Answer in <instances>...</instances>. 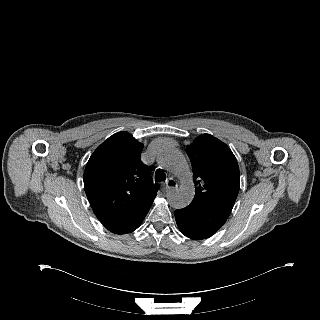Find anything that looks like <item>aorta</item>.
I'll use <instances>...</instances> for the list:
<instances>
[{
	"label": "aorta",
	"instance_id": "1",
	"mask_svg": "<svg viewBox=\"0 0 320 320\" xmlns=\"http://www.w3.org/2000/svg\"><path fill=\"white\" fill-rule=\"evenodd\" d=\"M160 164L178 176L183 185L168 195L169 204L175 209H181L191 203L194 198V188L192 186V173L184 155L174 147L164 148L158 156Z\"/></svg>",
	"mask_w": 320,
	"mask_h": 320
}]
</instances>
